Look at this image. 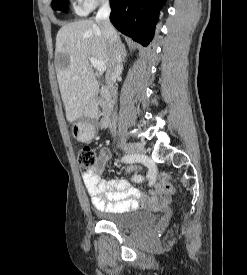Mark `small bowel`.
I'll return each mask as SVG.
<instances>
[{
  "instance_id": "small-bowel-1",
  "label": "small bowel",
  "mask_w": 247,
  "mask_h": 275,
  "mask_svg": "<svg viewBox=\"0 0 247 275\" xmlns=\"http://www.w3.org/2000/svg\"><path fill=\"white\" fill-rule=\"evenodd\" d=\"M110 157V150L102 148L97 163L82 175L85 189L96 209L106 212H126L140 206L164 207L168 204L171 192L160 180L150 181L153 190L144 194L125 178H106L105 166ZM132 170V167H127L125 172Z\"/></svg>"
}]
</instances>
